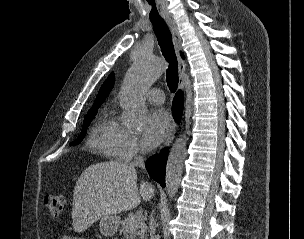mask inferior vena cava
<instances>
[{"mask_svg":"<svg viewBox=\"0 0 304 239\" xmlns=\"http://www.w3.org/2000/svg\"><path fill=\"white\" fill-rule=\"evenodd\" d=\"M144 159L142 156H137L134 160V163L132 164V166H140V167H144ZM155 229H156V222L155 219L153 217V212L151 214V218H150V236L151 239H158L155 235Z\"/></svg>","mask_w":304,"mask_h":239,"instance_id":"602c4592","label":"inferior vena cava"}]
</instances>
